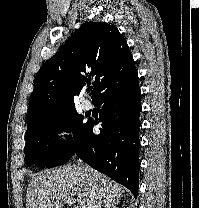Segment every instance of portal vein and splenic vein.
Instances as JSON below:
<instances>
[{"label":"portal vein and splenic vein","mask_w":199,"mask_h":208,"mask_svg":"<svg viewBox=\"0 0 199 208\" xmlns=\"http://www.w3.org/2000/svg\"><path fill=\"white\" fill-rule=\"evenodd\" d=\"M62 201L69 203V204H74L76 203V200L74 198H70V197H63ZM74 208H79L78 206L74 207Z\"/></svg>","instance_id":"portal-vein-and-splenic-vein-1"}]
</instances>
